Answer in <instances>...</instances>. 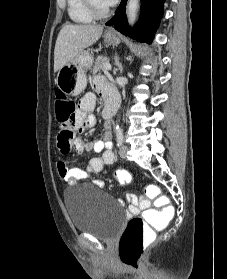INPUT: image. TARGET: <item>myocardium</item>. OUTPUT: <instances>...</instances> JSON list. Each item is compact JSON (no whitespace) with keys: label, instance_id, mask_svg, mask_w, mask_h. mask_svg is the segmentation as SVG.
I'll return each mask as SVG.
<instances>
[{"label":"myocardium","instance_id":"1","mask_svg":"<svg viewBox=\"0 0 227 279\" xmlns=\"http://www.w3.org/2000/svg\"><path fill=\"white\" fill-rule=\"evenodd\" d=\"M87 12L97 19L105 18L110 14L111 6H108L104 10H99L93 3V0H82Z\"/></svg>","mask_w":227,"mask_h":279}]
</instances>
